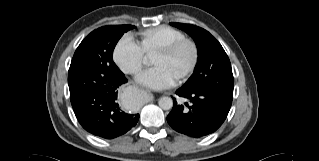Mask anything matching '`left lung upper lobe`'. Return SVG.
<instances>
[{"label": "left lung upper lobe", "instance_id": "5c2ea615", "mask_svg": "<svg viewBox=\"0 0 319 161\" xmlns=\"http://www.w3.org/2000/svg\"><path fill=\"white\" fill-rule=\"evenodd\" d=\"M170 24L189 34L198 50L194 72L181 88L204 90L232 101L233 74L230 60L221 44L208 31L196 25Z\"/></svg>", "mask_w": 319, "mask_h": 161}]
</instances>
